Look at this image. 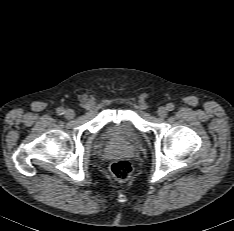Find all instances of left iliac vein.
Instances as JSON below:
<instances>
[{
  "instance_id": "left-iliac-vein-1",
  "label": "left iliac vein",
  "mask_w": 234,
  "mask_h": 231,
  "mask_svg": "<svg viewBox=\"0 0 234 231\" xmlns=\"http://www.w3.org/2000/svg\"><path fill=\"white\" fill-rule=\"evenodd\" d=\"M158 114L160 117H165L167 115V109L165 107H160L158 110Z\"/></svg>"
}]
</instances>
